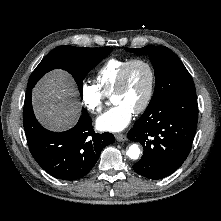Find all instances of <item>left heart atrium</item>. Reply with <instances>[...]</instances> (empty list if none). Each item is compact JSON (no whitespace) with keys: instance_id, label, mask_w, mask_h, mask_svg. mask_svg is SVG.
Returning a JSON list of instances; mask_svg holds the SVG:
<instances>
[{"instance_id":"obj_1","label":"left heart atrium","mask_w":221,"mask_h":221,"mask_svg":"<svg viewBox=\"0 0 221 221\" xmlns=\"http://www.w3.org/2000/svg\"><path fill=\"white\" fill-rule=\"evenodd\" d=\"M133 111L124 104L114 107L98 117L96 124L100 130L118 132L123 130L131 121Z\"/></svg>"}]
</instances>
